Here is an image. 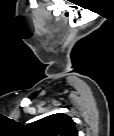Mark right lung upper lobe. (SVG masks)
<instances>
[{"instance_id":"right-lung-upper-lobe-1","label":"right lung upper lobe","mask_w":114,"mask_h":136,"mask_svg":"<svg viewBox=\"0 0 114 136\" xmlns=\"http://www.w3.org/2000/svg\"><path fill=\"white\" fill-rule=\"evenodd\" d=\"M35 136H78L75 122L64 113L52 114L28 127Z\"/></svg>"}]
</instances>
